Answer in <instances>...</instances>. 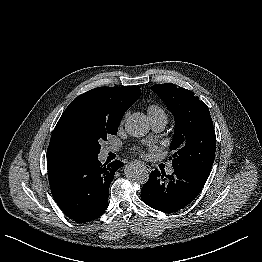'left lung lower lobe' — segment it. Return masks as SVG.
<instances>
[{
    "label": "left lung lower lobe",
    "mask_w": 262,
    "mask_h": 262,
    "mask_svg": "<svg viewBox=\"0 0 262 262\" xmlns=\"http://www.w3.org/2000/svg\"><path fill=\"white\" fill-rule=\"evenodd\" d=\"M207 178V175L177 168L172 175L154 170L141 189V199L156 210L173 213L198 196Z\"/></svg>",
    "instance_id": "1"
}]
</instances>
